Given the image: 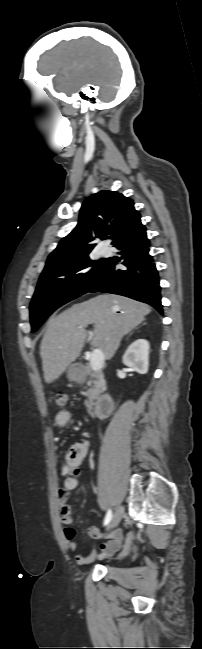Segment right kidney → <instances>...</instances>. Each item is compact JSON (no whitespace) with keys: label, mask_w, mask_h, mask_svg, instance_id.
I'll use <instances>...</instances> for the list:
<instances>
[{"label":"right kidney","mask_w":202,"mask_h":649,"mask_svg":"<svg viewBox=\"0 0 202 649\" xmlns=\"http://www.w3.org/2000/svg\"><path fill=\"white\" fill-rule=\"evenodd\" d=\"M123 363L138 372L146 374L149 366V343L145 339L135 340L129 345L122 358Z\"/></svg>","instance_id":"right-kidney-1"}]
</instances>
